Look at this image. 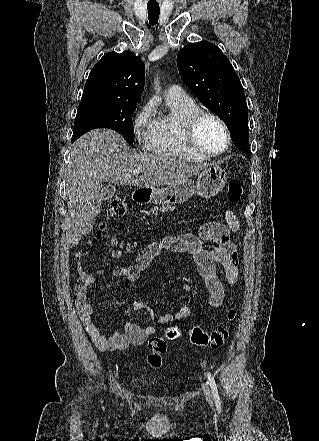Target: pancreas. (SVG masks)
Returning a JSON list of instances; mask_svg holds the SVG:
<instances>
[{"mask_svg":"<svg viewBox=\"0 0 319 441\" xmlns=\"http://www.w3.org/2000/svg\"><path fill=\"white\" fill-rule=\"evenodd\" d=\"M168 210H174V207L170 205H164L162 208H158V206H155L154 208H151L150 211L152 212V214L158 215V212L165 213L168 212Z\"/></svg>","mask_w":319,"mask_h":441,"instance_id":"pancreas-1","label":"pancreas"}]
</instances>
